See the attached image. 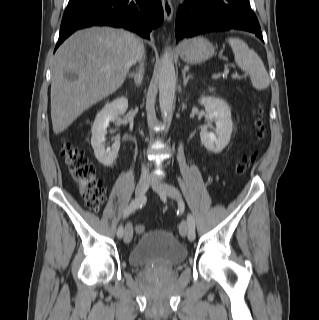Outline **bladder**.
<instances>
[{
  "instance_id": "bladder-1",
  "label": "bladder",
  "mask_w": 319,
  "mask_h": 320,
  "mask_svg": "<svg viewBox=\"0 0 319 320\" xmlns=\"http://www.w3.org/2000/svg\"><path fill=\"white\" fill-rule=\"evenodd\" d=\"M187 249L170 232L152 229L144 232L132 248L128 260L141 267L154 262L176 265L187 258Z\"/></svg>"
}]
</instances>
